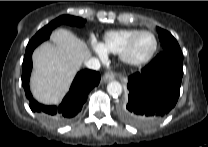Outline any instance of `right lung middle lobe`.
<instances>
[{
    "instance_id": "right-lung-middle-lobe-1",
    "label": "right lung middle lobe",
    "mask_w": 208,
    "mask_h": 147,
    "mask_svg": "<svg viewBox=\"0 0 208 147\" xmlns=\"http://www.w3.org/2000/svg\"><path fill=\"white\" fill-rule=\"evenodd\" d=\"M85 19L80 18V17H75L71 15H62L55 20L51 21L49 24L44 26L42 29H40L36 35L33 37L34 39L44 37L45 35H48L52 32L53 29H55L57 26L61 24H67L71 26H77L81 27L85 23Z\"/></svg>"
}]
</instances>
